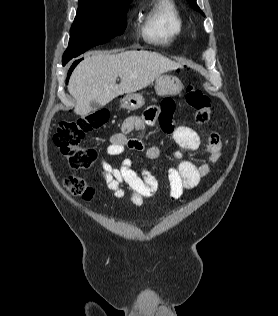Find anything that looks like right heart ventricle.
<instances>
[{
	"mask_svg": "<svg viewBox=\"0 0 278 316\" xmlns=\"http://www.w3.org/2000/svg\"><path fill=\"white\" fill-rule=\"evenodd\" d=\"M139 30L147 43L170 46L183 35L185 25L174 0H152L141 11Z\"/></svg>",
	"mask_w": 278,
	"mask_h": 316,
	"instance_id": "1",
	"label": "right heart ventricle"
}]
</instances>
